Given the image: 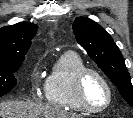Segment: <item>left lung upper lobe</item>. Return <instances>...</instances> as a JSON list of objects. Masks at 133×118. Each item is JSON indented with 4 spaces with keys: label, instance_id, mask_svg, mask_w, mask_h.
<instances>
[{
    "label": "left lung upper lobe",
    "instance_id": "obj_1",
    "mask_svg": "<svg viewBox=\"0 0 133 118\" xmlns=\"http://www.w3.org/2000/svg\"><path fill=\"white\" fill-rule=\"evenodd\" d=\"M77 42L115 84L125 101L133 107V86L124 58L112 37L98 23L86 17L73 22Z\"/></svg>",
    "mask_w": 133,
    "mask_h": 118
}]
</instances>
